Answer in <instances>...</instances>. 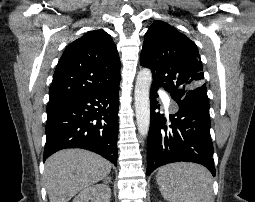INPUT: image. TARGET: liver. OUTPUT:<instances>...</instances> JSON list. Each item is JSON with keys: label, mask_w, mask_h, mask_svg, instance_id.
<instances>
[{"label": "liver", "mask_w": 255, "mask_h": 202, "mask_svg": "<svg viewBox=\"0 0 255 202\" xmlns=\"http://www.w3.org/2000/svg\"><path fill=\"white\" fill-rule=\"evenodd\" d=\"M111 163L82 149H65L45 162L44 180L50 202H68L83 189L104 180Z\"/></svg>", "instance_id": "obj_1"}]
</instances>
